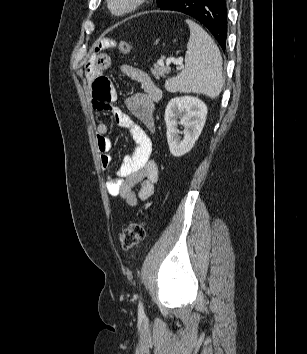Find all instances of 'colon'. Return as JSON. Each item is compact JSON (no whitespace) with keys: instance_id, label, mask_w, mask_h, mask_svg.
I'll use <instances>...</instances> for the list:
<instances>
[{"instance_id":"5ec220e1","label":"colon","mask_w":307,"mask_h":354,"mask_svg":"<svg viewBox=\"0 0 307 354\" xmlns=\"http://www.w3.org/2000/svg\"><path fill=\"white\" fill-rule=\"evenodd\" d=\"M121 54L128 55L131 52V44L127 41H121L118 44ZM146 226L143 221L130 223L121 233L120 242L124 249L135 248L145 237Z\"/></svg>"}]
</instances>
